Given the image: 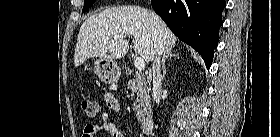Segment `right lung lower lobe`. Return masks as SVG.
I'll use <instances>...</instances> for the list:
<instances>
[{"label": "right lung lower lobe", "mask_w": 280, "mask_h": 137, "mask_svg": "<svg viewBox=\"0 0 280 137\" xmlns=\"http://www.w3.org/2000/svg\"><path fill=\"white\" fill-rule=\"evenodd\" d=\"M151 4L171 31L193 47L210 67L225 0H151Z\"/></svg>", "instance_id": "98d812e1"}]
</instances>
